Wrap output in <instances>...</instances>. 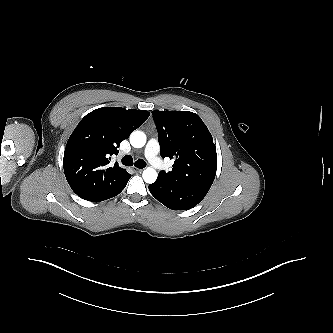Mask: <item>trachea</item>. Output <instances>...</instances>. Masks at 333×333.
Returning <instances> with one entry per match:
<instances>
[{
    "mask_svg": "<svg viewBox=\"0 0 333 333\" xmlns=\"http://www.w3.org/2000/svg\"><path fill=\"white\" fill-rule=\"evenodd\" d=\"M122 164L125 165V166H133V164H134V166L139 168V169H142V168L146 167V162L142 159H139V160H137L136 162L133 163V158L130 155H125L122 158Z\"/></svg>",
    "mask_w": 333,
    "mask_h": 333,
    "instance_id": "trachea-1",
    "label": "trachea"
}]
</instances>
